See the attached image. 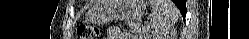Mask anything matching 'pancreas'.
Instances as JSON below:
<instances>
[{"label":"pancreas","instance_id":"obj_1","mask_svg":"<svg viewBox=\"0 0 249 39\" xmlns=\"http://www.w3.org/2000/svg\"><path fill=\"white\" fill-rule=\"evenodd\" d=\"M128 25L133 31L137 32L141 36L147 32L146 28H144L139 22H130Z\"/></svg>","mask_w":249,"mask_h":39}]
</instances>
